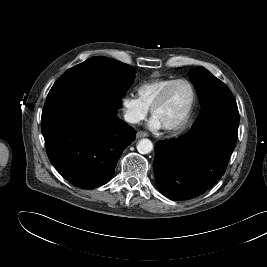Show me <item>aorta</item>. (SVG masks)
Wrapping results in <instances>:
<instances>
[{
	"label": "aorta",
	"instance_id": "obj_1",
	"mask_svg": "<svg viewBox=\"0 0 267 267\" xmlns=\"http://www.w3.org/2000/svg\"><path fill=\"white\" fill-rule=\"evenodd\" d=\"M137 150L141 154H148L153 150V144L149 139H141L137 144Z\"/></svg>",
	"mask_w": 267,
	"mask_h": 267
}]
</instances>
